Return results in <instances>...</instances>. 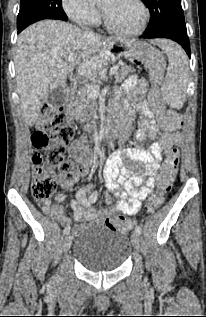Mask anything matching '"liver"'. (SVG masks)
<instances>
[{"mask_svg":"<svg viewBox=\"0 0 206 317\" xmlns=\"http://www.w3.org/2000/svg\"><path fill=\"white\" fill-rule=\"evenodd\" d=\"M128 41L89 34L82 29L55 20L37 22L18 37L15 51L16 84L25 122L33 126L40 113L41 101L55 88L64 86L77 61L67 63V56L77 51L79 73L95 70L105 63L100 48L107 42ZM82 63H91L82 69Z\"/></svg>","mask_w":206,"mask_h":317,"instance_id":"liver-1","label":"liver"}]
</instances>
